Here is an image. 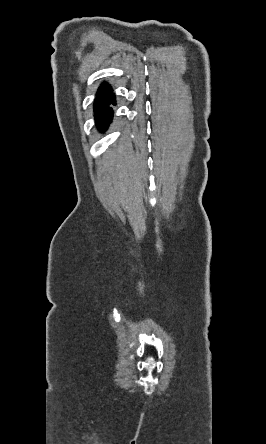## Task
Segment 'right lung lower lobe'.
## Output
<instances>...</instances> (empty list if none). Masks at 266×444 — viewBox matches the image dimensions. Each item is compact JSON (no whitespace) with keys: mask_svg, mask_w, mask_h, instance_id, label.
Listing matches in <instances>:
<instances>
[{"mask_svg":"<svg viewBox=\"0 0 266 444\" xmlns=\"http://www.w3.org/2000/svg\"><path fill=\"white\" fill-rule=\"evenodd\" d=\"M110 104L115 105V96L111 87L104 83L99 88L94 103L96 125L100 131L106 130L111 122L113 112L112 108L109 107Z\"/></svg>","mask_w":266,"mask_h":444,"instance_id":"right-lung-lower-lobe-1","label":"right lung lower lobe"}]
</instances>
